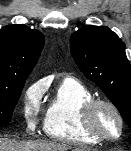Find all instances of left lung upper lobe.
<instances>
[{
  "mask_svg": "<svg viewBox=\"0 0 131 151\" xmlns=\"http://www.w3.org/2000/svg\"><path fill=\"white\" fill-rule=\"evenodd\" d=\"M71 54L84 75L97 84L131 128V64L125 44L106 26H85L70 38Z\"/></svg>",
  "mask_w": 131,
  "mask_h": 151,
  "instance_id": "left-lung-upper-lobe-1",
  "label": "left lung upper lobe"
}]
</instances>
